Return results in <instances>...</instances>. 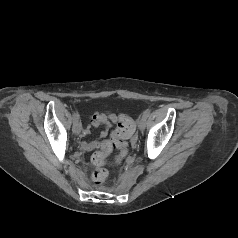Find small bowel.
<instances>
[{
	"label": "small bowel",
	"instance_id": "1",
	"mask_svg": "<svg viewBox=\"0 0 238 238\" xmlns=\"http://www.w3.org/2000/svg\"><path fill=\"white\" fill-rule=\"evenodd\" d=\"M117 120L118 117L112 113H94L90 119L91 125L94 127L103 126L105 129L100 132L98 139L91 142H83L81 144V147L87 151H91L99 147L103 148L108 143V141L101 142V140L107 136L108 129ZM88 133H89L88 129H85L83 132L84 135H87Z\"/></svg>",
	"mask_w": 238,
	"mask_h": 238
}]
</instances>
